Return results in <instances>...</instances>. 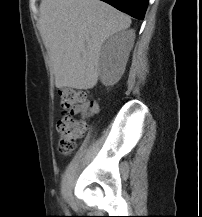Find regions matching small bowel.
<instances>
[{
	"label": "small bowel",
	"mask_w": 202,
	"mask_h": 217,
	"mask_svg": "<svg viewBox=\"0 0 202 217\" xmlns=\"http://www.w3.org/2000/svg\"><path fill=\"white\" fill-rule=\"evenodd\" d=\"M99 107L97 102H92L89 106H79L75 109V113L82 114L84 116L92 115L98 111Z\"/></svg>",
	"instance_id": "1"
}]
</instances>
